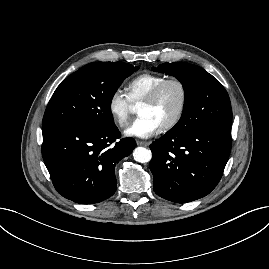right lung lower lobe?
Returning <instances> with one entry per match:
<instances>
[{
	"mask_svg": "<svg viewBox=\"0 0 269 269\" xmlns=\"http://www.w3.org/2000/svg\"><path fill=\"white\" fill-rule=\"evenodd\" d=\"M42 155L55 189L79 204H94L111 197L117 188L115 165L136 146L120 138L116 126L93 129L75 123L42 127Z\"/></svg>",
	"mask_w": 269,
	"mask_h": 269,
	"instance_id": "right-lung-lower-lobe-1",
	"label": "right lung lower lobe"
}]
</instances>
